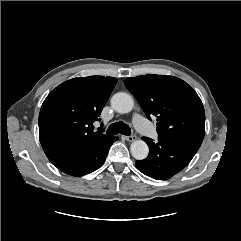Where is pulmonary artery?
<instances>
[{"mask_svg":"<svg viewBox=\"0 0 241 241\" xmlns=\"http://www.w3.org/2000/svg\"><path fill=\"white\" fill-rule=\"evenodd\" d=\"M133 123L139 131H142L146 135L153 138L157 136V133L155 132V130L152 129L151 126H149L141 116L135 115L133 118Z\"/></svg>","mask_w":241,"mask_h":241,"instance_id":"pulmonary-artery-1","label":"pulmonary artery"}]
</instances>
